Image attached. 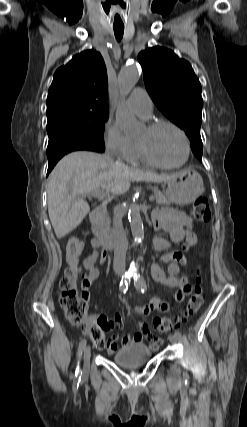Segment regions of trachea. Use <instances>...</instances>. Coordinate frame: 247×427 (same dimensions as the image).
Segmentation results:
<instances>
[{
  "mask_svg": "<svg viewBox=\"0 0 247 427\" xmlns=\"http://www.w3.org/2000/svg\"><path fill=\"white\" fill-rule=\"evenodd\" d=\"M123 33H124V25H120V26L114 25V34L118 41L122 39Z\"/></svg>",
  "mask_w": 247,
  "mask_h": 427,
  "instance_id": "3493384b",
  "label": "trachea"
}]
</instances>
